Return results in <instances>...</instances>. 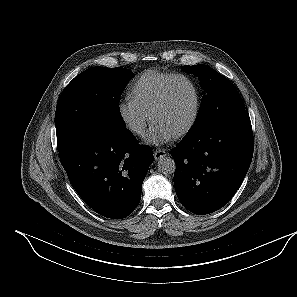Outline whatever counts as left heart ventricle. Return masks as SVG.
<instances>
[{
	"mask_svg": "<svg viewBox=\"0 0 297 297\" xmlns=\"http://www.w3.org/2000/svg\"><path fill=\"white\" fill-rule=\"evenodd\" d=\"M195 105L191 85L183 80L176 82L165 104L154 114L152 123H157L175 135L190 120Z\"/></svg>",
	"mask_w": 297,
	"mask_h": 297,
	"instance_id": "obj_1",
	"label": "left heart ventricle"
}]
</instances>
